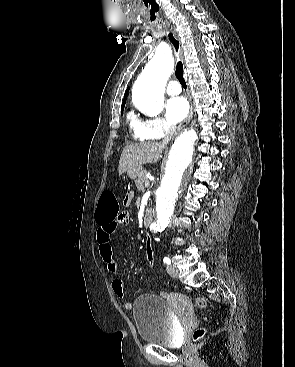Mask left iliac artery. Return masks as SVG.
<instances>
[{"instance_id": "left-iliac-artery-1", "label": "left iliac artery", "mask_w": 295, "mask_h": 367, "mask_svg": "<svg viewBox=\"0 0 295 367\" xmlns=\"http://www.w3.org/2000/svg\"><path fill=\"white\" fill-rule=\"evenodd\" d=\"M163 262H164L165 264H167V265H170V264H171V260H170V258H168V257H164Z\"/></svg>"}]
</instances>
